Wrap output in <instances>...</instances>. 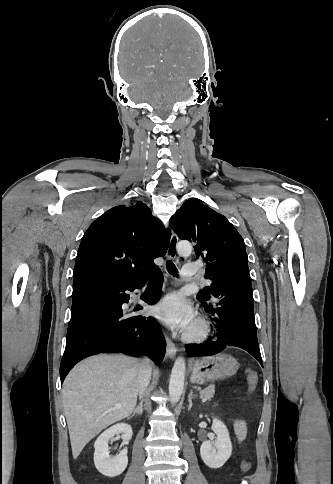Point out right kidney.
I'll use <instances>...</instances> for the list:
<instances>
[{"label": "right kidney", "instance_id": "ca27d5eb", "mask_svg": "<svg viewBox=\"0 0 333 484\" xmlns=\"http://www.w3.org/2000/svg\"><path fill=\"white\" fill-rule=\"evenodd\" d=\"M117 434L126 443L131 440L132 427L126 423L116 424L104 431L94 444V464L97 470L106 477H116L120 475L128 465L127 448L123 449L118 455L109 454L108 442Z\"/></svg>", "mask_w": 333, "mask_h": 484}]
</instances>
